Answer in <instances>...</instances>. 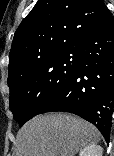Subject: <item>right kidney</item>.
Returning a JSON list of instances; mask_svg holds the SVG:
<instances>
[{
  "instance_id": "1",
  "label": "right kidney",
  "mask_w": 114,
  "mask_h": 156,
  "mask_svg": "<svg viewBox=\"0 0 114 156\" xmlns=\"http://www.w3.org/2000/svg\"><path fill=\"white\" fill-rule=\"evenodd\" d=\"M79 156H102V147L97 144H92L84 147Z\"/></svg>"
}]
</instances>
